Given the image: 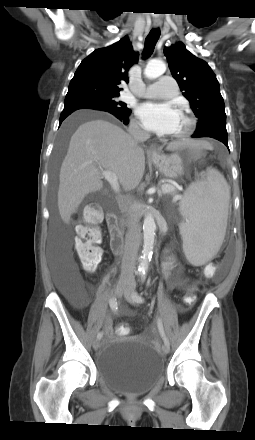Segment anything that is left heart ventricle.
Returning <instances> with one entry per match:
<instances>
[{
    "label": "left heart ventricle",
    "mask_w": 255,
    "mask_h": 440,
    "mask_svg": "<svg viewBox=\"0 0 255 440\" xmlns=\"http://www.w3.org/2000/svg\"><path fill=\"white\" fill-rule=\"evenodd\" d=\"M185 125H186V122H185L184 117L181 114H179L178 123H177L176 130L174 133L176 134V133L180 132L185 127Z\"/></svg>",
    "instance_id": "1"
}]
</instances>
